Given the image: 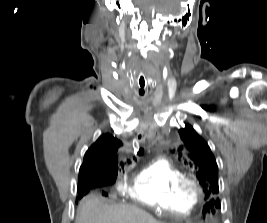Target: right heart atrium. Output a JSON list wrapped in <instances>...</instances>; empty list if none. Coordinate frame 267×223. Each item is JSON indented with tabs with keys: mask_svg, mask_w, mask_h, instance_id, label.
<instances>
[{
	"mask_svg": "<svg viewBox=\"0 0 267 223\" xmlns=\"http://www.w3.org/2000/svg\"><path fill=\"white\" fill-rule=\"evenodd\" d=\"M118 189L121 191V190H124V186H122V184H119L118 185Z\"/></svg>",
	"mask_w": 267,
	"mask_h": 223,
	"instance_id": "d8ad5b80",
	"label": "right heart atrium"
}]
</instances>
